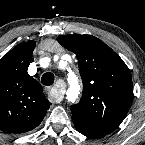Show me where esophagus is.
<instances>
[{
    "instance_id": "34e87169",
    "label": "esophagus",
    "mask_w": 145,
    "mask_h": 145,
    "mask_svg": "<svg viewBox=\"0 0 145 145\" xmlns=\"http://www.w3.org/2000/svg\"><path fill=\"white\" fill-rule=\"evenodd\" d=\"M46 90L49 93V97L55 103H60L63 99L64 89L61 85H55L53 87H47Z\"/></svg>"
}]
</instances>
